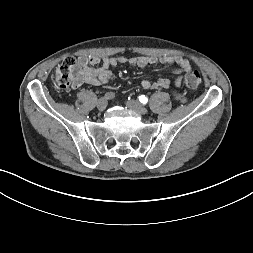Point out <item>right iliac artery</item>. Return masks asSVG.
I'll return each instance as SVG.
<instances>
[{"label":"right iliac artery","mask_w":253,"mask_h":253,"mask_svg":"<svg viewBox=\"0 0 253 253\" xmlns=\"http://www.w3.org/2000/svg\"><path fill=\"white\" fill-rule=\"evenodd\" d=\"M115 97V93L114 92H107L104 95V98H106L107 100H111Z\"/></svg>","instance_id":"right-iliac-artery-1"}]
</instances>
